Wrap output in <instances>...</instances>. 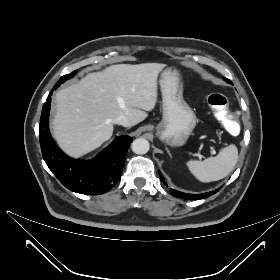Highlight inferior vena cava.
Here are the masks:
<instances>
[{"label":"inferior vena cava","mask_w":280,"mask_h":280,"mask_svg":"<svg viewBox=\"0 0 280 280\" xmlns=\"http://www.w3.org/2000/svg\"><path fill=\"white\" fill-rule=\"evenodd\" d=\"M113 123L119 124V125H122V126H125V127H129L130 126L129 120L125 116H123V115L116 117L113 120Z\"/></svg>","instance_id":"inferior-vena-cava-1"}]
</instances>
